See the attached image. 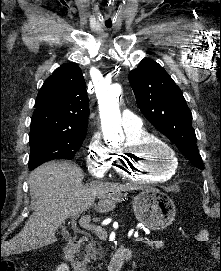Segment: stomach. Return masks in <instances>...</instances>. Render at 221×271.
<instances>
[{
	"mask_svg": "<svg viewBox=\"0 0 221 271\" xmlns=\"http://www.w3.org/2000/svg\"><path fill=\"white\" fill-rule=\"evenodd\" d=\"M132 205L136 219L149 229H164L172 223L176 213L174 201L161 191L142 189Z\"/></svg>",
	"mask_w": 221,
	"mask_h": 271,
	"instance_id": "1",
	"label": "stomach"
}]
</instances>
